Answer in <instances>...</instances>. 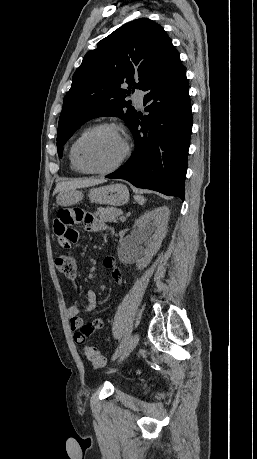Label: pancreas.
Segmentation results:
<instances>
[{
    "label": "pancreas",
    "mask_w": 257,
    "mask_h": 459,
    "mask_svg": "<svg viewBox=\"0 0 257 459\" xmlns=\"http://www.w3.org/2000/svg\"><path fill=\"white\" fill-rule=\"evenodd\" d=\"M121 213L122 211L115 207H99L96 210L95 215L98 216L100 220L104 222H117L118 216H120Z\"/></svg>",
    "instance_id": "pancreas-1"
}]
</instances>
